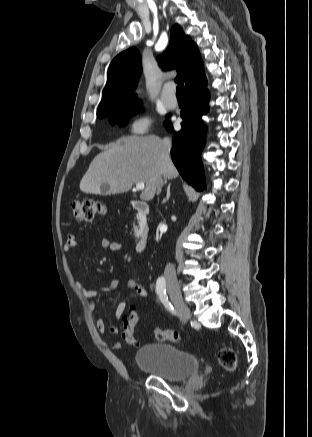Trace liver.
<instances>
[{
    "instance_id": "obj_1",
    "label": "liver",
    "mask_w": 312,
    "mask_h": 437,
    "mask_svg": "<svg viewBox=\"0 0 312 437\" xmlns=\"http://www.w3.org/2000/svg\"><path fill=\"white\" fill-rule=\"evenodd\" d=\"M160 177H178L177 169L164 151L163 141L154 135L122 137L92 160L80 181V190L102 194V186L107 184L106 194H117L143 182L145 189L140 198L149 201L155 196Z\"/></svg>"
}]
</instances>
